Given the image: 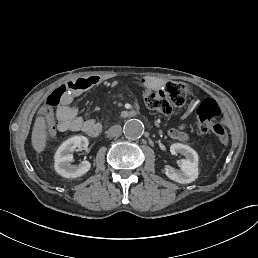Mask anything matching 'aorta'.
Wrapping results in <instances>:
<instances>
[{
	"label": "aorta",
	"instance_id": "762f6f07",
	"mask_svg": "<svg viewBox=\"0 0 258 258\" xmlns=\"http://www.w3.org/2000/svg\"><path fill=\"white\" fill-rule=\"evenodd\" d=\"M123 133L129 139H138L144 133V125L138 119H130L124 124Z\"/></svg>",
	"mask_w": 258,
	"mask_h": 258
}]
</instances>
